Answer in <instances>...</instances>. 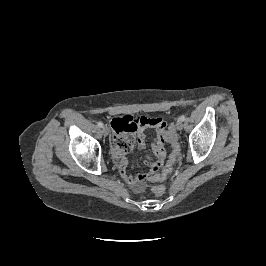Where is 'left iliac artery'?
<instances>
[{"instance_id": "obj_1", "label": "left iliac artery", "mask_w": 266, "mask_h": 266, "mask_svg": "<svg viewBox=\"0 0 266 266\" xmlns=\"http://www.w3.org/2000/svg\"><path fill=\"white\" fill-rule=\"evenodd\" d=\"M179 119H180L181 121H184V120H185V116H184V115H181Z\"/></svg>"}]
</instances>
